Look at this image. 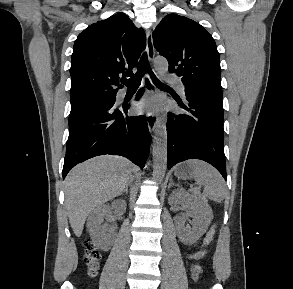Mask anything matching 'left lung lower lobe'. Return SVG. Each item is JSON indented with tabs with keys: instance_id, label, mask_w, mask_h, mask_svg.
Returning a JSON list of instances; mask_svg holds the SVG:
<instances>
[{
	"instance_id": "0a47b994",
	"label": "left lung lower lobe",
	"mask_w": 293,
	"mask_h": 289,
	"mask_svg": "<svg viewBox=\"0 0 293 289\" xmlns=\"http://www.w3.org/2000/svg\"><path fill=\"white\" fill-rule=\"evenodd\" d=\"M185 96L187 105L177 102L187 112L169 113L168 169L187 159H200L214 166L226 180L222 96L187 88Z\"/></svg>"
}]
</instances>
